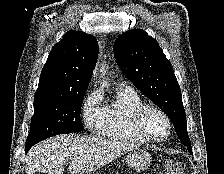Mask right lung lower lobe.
Listing matches in <instances>:
<instances>
[{
    "instance_id": "1",
    "label": "right lung lower lobe",
    "mask_w": 224,
    "mask_h": 174,
    "mask_svg": "<svg viewBox=\"0 0 224 174\" xmlns=\"http://www.w3.org/2000/svg\"><path fill=\"white\" fill-rule=\"evenodd\" d=\"M33 145L26 146L25 151L27 152Z\"/></svg>"
}]
</instances>
